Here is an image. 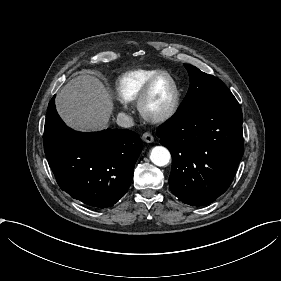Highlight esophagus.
Segmentation results:
<instances>
[{
	"label": "esophagus",
	"mask_w": 281,
	"mask_h": 281,
	"mask_svg": "<svg viewBox=\"0 0 281 281\" xmlns=\"http://www.w3.org/2000/svg\"><path fill=\"white\" fill-rule=\"evenodd\" d=\"M142 139L146 143H152L154 141V137L150 133H143Z\"/></svg>",
	"instance_id": "34e87169"
}]
</instances>
